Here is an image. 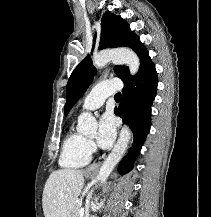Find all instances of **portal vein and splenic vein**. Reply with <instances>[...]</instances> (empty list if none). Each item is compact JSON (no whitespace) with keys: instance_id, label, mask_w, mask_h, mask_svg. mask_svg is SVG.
I'll use <instances>...</instances> for the list:
<instances>
[{"instance_id":"18ae733b","label":"portal vein and splenic vein","mask_w":211,"mask_h":217,"mask_svg":"<svg viewBox=\"0 0 211 217\" xmlns=\"http://www.w3.org/2000/svg\"><path fill=\"white\" fill-rule=\"evenodd\" d=\"M79 215H80V217H83V215H84V208H80Z\"/></svg>"}]
</instances>
